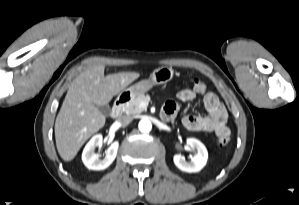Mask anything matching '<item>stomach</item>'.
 <instances>
[{"instance_id":"0dacf381","label":"stomach","mask_w":299,"mask_h":205,"mask_svg":"<svg viewBox=\"0 0 299 205\" xmlns=\"http://www.w3.org/2000/svg\"><path fill=\"white\" fill-rule=\"evenodd\" d=\"M175 71L172 67H158L153 70L151 76L148 79H143L129 88L125 89L120 97L128 100H133L140 94H144L152 89L156 85L166 84L174 77Z\"/></svg>"}]
</instances>
